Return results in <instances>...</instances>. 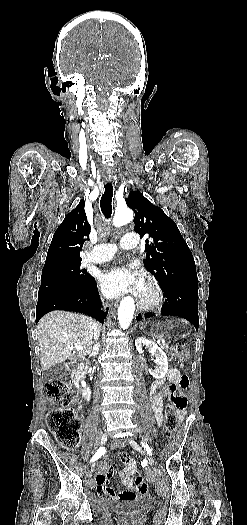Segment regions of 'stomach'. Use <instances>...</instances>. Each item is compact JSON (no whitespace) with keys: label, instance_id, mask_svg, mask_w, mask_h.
<instances>
[{"label":"stomach","instance_id":"obj_1","mask_svg":"<svg viewBox=\"0 0 247 525\" xmlns=\"http://www.w3.org/2000/svg\"><path fill=\"white\" fill-rule=\"evenodd\" d=\"M140 328L153 337L171 341L185 337L189 326L177 318H157L141 322Z\"/></svg>","mask_w":247,"mask_h":525}]
</instances>
